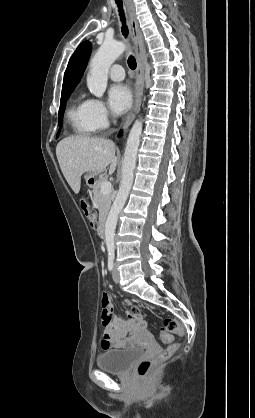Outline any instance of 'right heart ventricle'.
<instances>
[{
    "label": "right heart ventricle",
    "mask_w": 255,
    "mask_h": 418,
    "mask_svg": "<svg viewBox=\"0 0 255 418\" xmlns=\"http://www.w3.org/2000/svg\"><path fill=\"white\" fill-rule=\"evenodd\" d=\"M67 119L73 131L79 135H89L95 130L91 125L88 113V100L76 96L67 111Z\"/></svg>",
    "instance_id": "e07e8e85"
}]
</instances>
